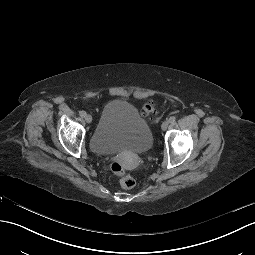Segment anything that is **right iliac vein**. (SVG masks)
<instances>
[{
    "instance_id": "obj_1",
    "label": "right iliac vein",
    "mask_w": 255,
    "mask_h": 255,
    "mask_svg": "<svg viewBox=\"0 0 255 255\" xmlns=\"http://www.w3.org/2000/svg\"><path fill=\"white\" fill-rule=\"evenodd\" d=\"M85 121H86L87 123H91V122H92V116L89 115V114H87V115L85 116Z\"/></svg>"
}]
</instances>
